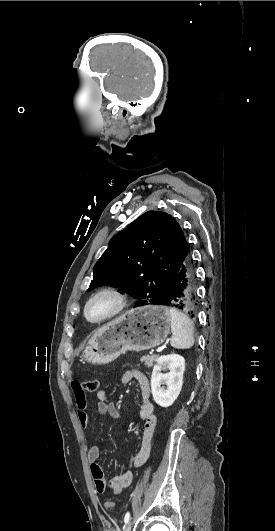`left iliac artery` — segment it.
<instances>
[{
	"mask_svg": "<svg viewBox=\"0 0 275 531\" xmlns=\"http://www.w3.org/2000/svg\"><path fill=\"white\" fill-rule=\"evenodd\" d=\"M129 520H130V513L127 512L126 515H125V517H124V522H125V523H128Z\"/></svg>",
	"mask_w": 275,
	"mask_h": 531,
	"instance_id": "obj_1",
	"label": "left iliac artery"
}]
</instances>
